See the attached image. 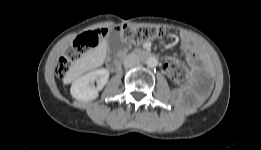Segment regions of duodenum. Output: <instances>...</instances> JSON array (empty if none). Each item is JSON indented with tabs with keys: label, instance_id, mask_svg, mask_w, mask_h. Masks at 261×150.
<instances>
[{
	"label": "duodenum",
	"instance_id": "obj_1",
	"mask_svg": "<svg viewBox=\"0 0 261 150\" xmlns=\"http://www.w3.org/2000/svg\"><path fill=\"white\" fill-rule=\"evenodd\" d=\"M135 57H153L152 54L143 50H137L133 54ZM121 64V57L119 55H113L108 59V66L112 70H117Z\"/></svg>",
	"mask_w": 261,
	"mask_h": 150
}]
</instances>
